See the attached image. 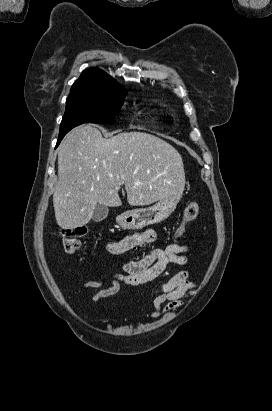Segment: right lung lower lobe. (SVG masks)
<instances>
[{"label": "right lung lower lobe", "mask_w": 272, "mask_h": 411, "mask_svg": "<svg viewBox=\"0 0 272 411\" xmlns=\"http://www.w3.org/2000/svg\"><path fill=\"white\" fill-rule=\"evenodd\" d=\"M64 137V136H63ZM63 137H58V141H57V146L59 145L60 141L63 139Z\"/></svg>", "instance_id": "1"}]
</instances>
